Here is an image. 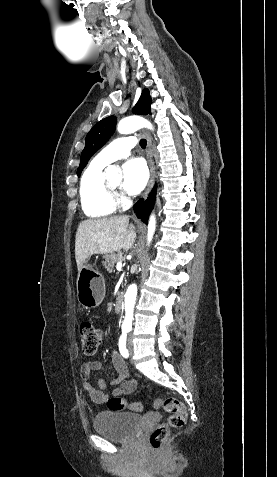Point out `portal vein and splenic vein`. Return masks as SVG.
<instances>
[{
  "label": "portal vein and splenic vein",
  "mask_w": 277,
  "mask_h": 477,
  "mask_svg": "<svg viewBox=\"0 0 277 477\" xmlns=\"http://www.w3.org/2000/svg\"><path fill=\"white\" fill-rule=\"evenodd\" d=\"M122 267H123L122 262L121 261L117 262V265H116L117 270L120 271Z\"/></svg>",
  "instance_id": "18ae733b"
}]
</instances>
